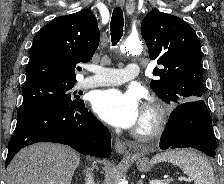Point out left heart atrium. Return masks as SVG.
<instances>
[{"mask_svg": "<svg viewBox=\"0 0 224 184\" xmlns=\"http://www.w3.org/2000/svg\"><path fill=\"white\" fill-rule=\"evenodd\" d=\"M92 105L101 119L119 128L129 129L137 126L142 116L140 98L133 92L102 90L95 95Z\"/></svg>", "mask_w": 224, "mask_h": 184, "instance_id": "1", "label": "left heart atrium"}]
</instances>
